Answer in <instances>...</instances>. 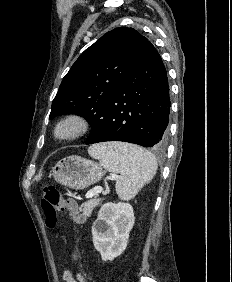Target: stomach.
Returning <instances> with one entry per match:
<instances>
[{
	"instance_id": "1",
	"label": "stomach",
	"mask_w": 232,
	"mask_h": 282,
	"mask_svg": "<svg viewBox=\"0 0 232 282\" xmlns=\"http://www.w3.org/2000/svg\"><path fill=\"white\" fill-rule=\"evenodd\" d=\"M52 173L56 182L75 190H82L104 176L101 165L80 156L63 158L54 166Z\"/></svg>"
}]
</instances>
